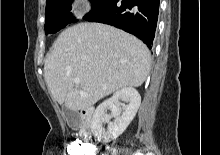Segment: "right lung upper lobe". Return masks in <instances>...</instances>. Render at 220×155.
Here are the masks:
<instances>
[{
  "label": "right lung upper lobe",
  "mask_w": 220,
  "mask_h": 155,
  "mask_svg": "<svg viewBox=\"0 0 220 155\" xmlns=\"http://www.w3.org/2000/svg\"><path fill=\"white\" fill-rule=\"evenodd\" d=\"M51 1H53V0H47V1H46V4L49 3V2H51Z\"/></svg>",
  "instance_id": "cb5924a9"
}]
</instances>
